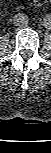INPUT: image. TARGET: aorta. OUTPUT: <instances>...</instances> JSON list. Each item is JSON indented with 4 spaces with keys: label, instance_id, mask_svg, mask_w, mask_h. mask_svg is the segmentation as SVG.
Instances as JSON below:
<instances>
[{
    "label": "aorta",
    "instance_id": "1",
    "mask_svg": "<svg viewBox=\"0 0 51 153\" xmlns=\"http://www.w3.org/2000/svg\"><path fill=\"white\" fill-rule=\"evenodd\" d=\"M42 28L45 30H48L51 28V16L49 15L44 16L42 21Z\"/></svg>",
    "mask_w": 51,
    "mask_h": 153
}]
</instances>
